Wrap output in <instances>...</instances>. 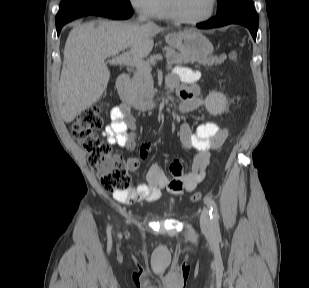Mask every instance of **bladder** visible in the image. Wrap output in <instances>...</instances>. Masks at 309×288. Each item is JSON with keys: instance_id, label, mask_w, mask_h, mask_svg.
Instances as JSON below:
<instances>
[{"instance_id": "bladder-1", "label": "bladder", "mask_w": 309, "mask_h": 288, "mask_svg": "<svg viewBox=\"0 0 309 288\" xmlns=\"http://www.w3.org/2000/svg\"><path fill=\"white\" fill-rule=\"evenodd\" d=\"M156 201H157L156 205H157L158 209L163 210V209H165L167 207V203L165 201L160 200V199H157Z\"/></svg>"}]
</instances>
